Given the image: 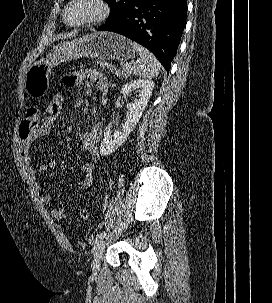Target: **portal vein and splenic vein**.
Here are the masks:
<instances>
[{
	"label": "portal vein and splenic vein",
	"instance_id": "obj_1",
	"mask_svg": "<svg viewBox=\"0 0 272 303\" xmlns=\"http://www.w3.org/2000/svg\"><path fill=\"white\" fill-rule=\"evenodd\" d=\"M124 68H125V69H131V65H130V64H125V65H124Z\"/></svg>",
	"mask_w": 272,
	"mask_h": 303
}]
</instances>
